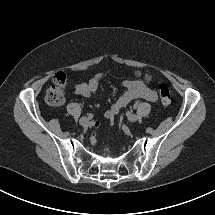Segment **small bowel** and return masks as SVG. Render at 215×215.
Here are the masks:
<instances>
[{
  "label": "small bowel",
  "mask_w": 215,
  "mask_h": 215,
  "mask_svg": "<svg viewBox=\"0 0 215 215\" xmlns=\"http://www.w3.org/2000/svg\"><path fill=\"white\" fill-rule=\"evenodd\" d=\"M105 77V73L98 72L88 79L87 82L78 83L74 86L75 94L83 97H90L97 93L100 81ZM125 92L117 99L113 106L106 112V117L113 119L121 109L136 99H143L149 102L157 100V93L150 89L142 80L123 81Z\"/></svg>",
  "instance_id": "obj_1"
}]
</instances>
